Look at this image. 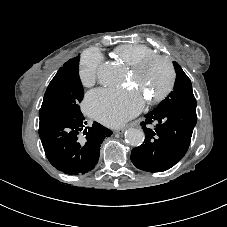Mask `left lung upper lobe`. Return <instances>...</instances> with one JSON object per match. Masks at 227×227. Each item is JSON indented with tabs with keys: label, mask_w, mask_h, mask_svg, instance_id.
Returning <instances> with one entry per match:
<instances>
[{
	"label": "left lung upper lobe",
	"mask_w": 227,
	"mask_h": 227,
	"mask_svg": "<svg viewBox=\"0 0 227 227\" xmlns=\"http://www.w3.org/2000/svg\"><path fill=\"white\" fill-rule=\"evenodd\" d=\"M176 71V81L173 91L155 110H169L179 108L196 112V99L192 91V84L180 65L173 62Z\"/></svg>",
	"instance_id": "obj_1"
}]
</instances>
